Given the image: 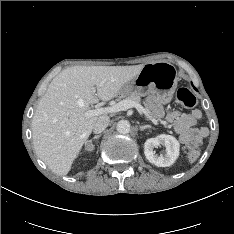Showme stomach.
I'll list each match as a JSON object with an SVG mask.
<instances>
[{
    "mask_svg": "<svg viewBox=\"0 0 234 234\" xmlns=\"http://www.w3.org/2000/svg\"><path fill=\"white\" fill-rule=\"evenodd\" d=\"M177 81L176 71L170 64H145L139 74L121 88L118 95L125 97L131 94H151L161 104H168L173 98Z\"/></svg>",
    "mask_w": 234,
    "mask_h": 234,
    "instance_id": "obj_1",
    "label": "stomach"
}]
</instances>
